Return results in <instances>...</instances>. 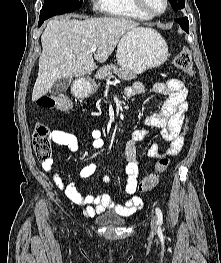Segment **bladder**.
<instances>
[{
    "label": "bladder",
    "instance_id": "bladder-1",
    "mask_svg": "<svg viewBox=\"0 0 221 263\" xmlns=\"http://www.w3.org/2000/svg\"><path fill=\"white\" fill-rule=\"evenodd\" d=\"M97 221L103 225H121L124 220L114 215H106L97 218Z\"/></svg>",
    "mask_w": 221,
    "mask_h": 263
}]
</instances>
